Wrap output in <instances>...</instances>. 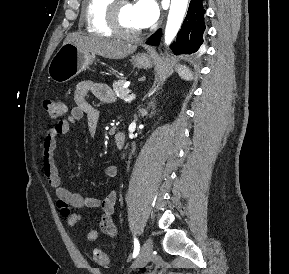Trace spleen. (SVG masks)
<instances>
[{
	"label": "spleen",
	"instance_id": "1",
	"mask_svg": "<svg viewBox=\"0 0 289 274\" xmlns=\"http://www.w3.org/2000/svg\"><path fill=\"white\" fill-rule=\"evenodd\" d=\"M177 70H178V74H179V76H181V78H183L185 80H190L192 78V75H191V73L187 67L179 66Z\"/></svg>",
	"mask_w": 289,
	"mask_h": 274
}]
</instances>
